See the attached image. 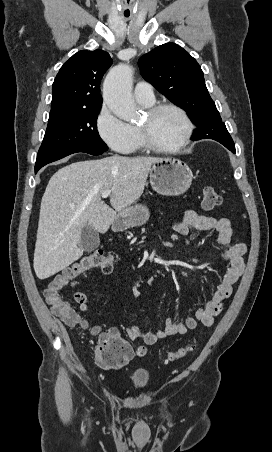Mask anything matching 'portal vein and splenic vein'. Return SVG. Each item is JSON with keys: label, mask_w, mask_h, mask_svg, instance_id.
Masks as SVG:
<instances>
[{"label": "portal vein and splenic vein", "mask_w": 272, "mask_h": 452, "mask_svg": "<svg viewBox=\"0 0 272 452\" xmlns=\"http://www.w3.org/2000/svg\"><path fill=\"white\" fill-rule=\"evenodd\" d=\"M110 195H111V190H106L101 194V197L103 199H105V198L109 197Z\"/></svg>", "instance_id": "1"}]
</instances>
